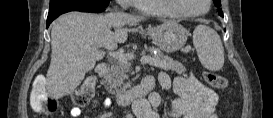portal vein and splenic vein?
Instances as JSON below:
<instances>
[{"mask_svg":"<svg viewBox=\"0 0 273 118\" xmlns=\"http://www.w3.org/2000/svg\"><path fill=\"white\" fill-rule=\"evenodd\" d=\"M110 54L117 58V59H120V60H132L135 58V55L133 53H126V54H123L121 52H118V51H114V49H110ZM141 62L142 63H150L151 62V57L150 56H143L141 58Z\"/></svg>","mask_w":273,"mask_h":118,"instance_id":"portal-vein-and-splenic-vein-1","label":"portal vein and splenic vein"}]
</instances>
